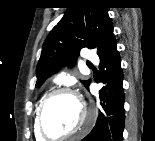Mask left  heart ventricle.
<instances>
[{
    "instance_id": "left-heart-ventricle-1",
    "label": "left heart ventricle",
    "mask_w": 155,
    "mask_h": 141,
    "mask_svg": "<svg viewBox=\"0 0 155 141\" xmlns=\"http://www.w3.org/2000/svg\"><path fill=\"white\" fill-rule=\"evenodd\" d=\"M83 119V111L78 101L70 96H53L44 111L43 124L52 136H59L74 130Z\"/></svg>"
}]
</instances>
